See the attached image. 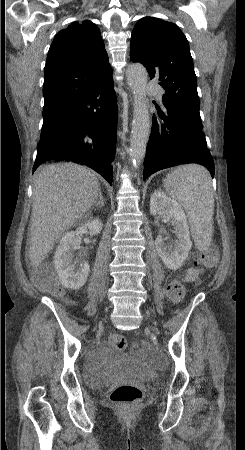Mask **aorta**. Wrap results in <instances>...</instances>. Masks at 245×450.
<instances>
[{
    "label": "aorta",
    "instance_id": "1",
    "mask_svg": "<svg viewBox=\"0 0 245 450\" xmlns=\"http://www.w3.org/2000/svg\"><path fill=\"white\" fill-rule=\"evenodd\" d=\"M126 76L134 97L130 151L134 166L138 167L145 157L150 136V116L146 97L148 73L143 65L136 63L128 66Z\"/></svg>",
    "mask_w": 245,
    "mask_h": 450
}]
</instances>
